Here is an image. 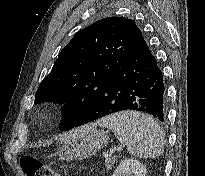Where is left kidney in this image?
Instances as JSON below:
<instances>
[{"instance_id": "1", "label": "left kidney", "mask_w": 205, "mask_h": 176, "mask_svg": "<svg viewBox=\"0 0 205 176\" xmlns=\"http://www.w3.org/2000/svg\"><path fill=\"white\" fill-rule=\"evenodd\" d=\"M145 165L135 159L122 160L112 176H146Z\"/></svg>"}]
</instances>
